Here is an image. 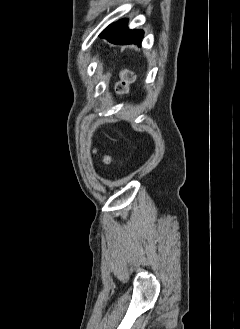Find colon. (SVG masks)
Returning <instances> with one entry per match:
<instances>
[{"mask_svg":"<svg viewBox=\"0 0 240 329\" xmlns=\"http://www.w3.org/2000/svg\"><path fill=\"white\" fill-rule=\"evenodd\" d=\"M134 80V74L132 71L125 69L121 72L120 82L117 86L118 93H125L128 89L129 84ZM110 161L109 158L106 159Z\"/></svg>","mask_w":240,"mask_h":329,"instance_id":"1","label":"colon"}]
</instances>
